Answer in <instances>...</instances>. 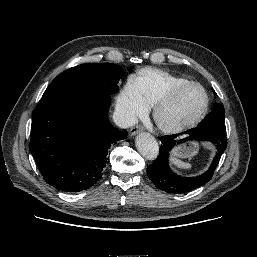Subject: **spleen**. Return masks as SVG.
<instances>
[{
  "label": "spleen",
  "mask_w": 257,
  "mask_h": 257,
  "mask_svg": "<svg viewBox=\"0 0 257 257\" xmlns=\"http://www.w3.org/2000/svg\"><path fill=\"white\" fill-rule=\"evenodd\" d=\"M171 163L178 169L188 170L192 167L190 163L183 162L177 158H171Z\"/></svg>",
  "instance_id": "1"
}]
</instances>
